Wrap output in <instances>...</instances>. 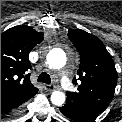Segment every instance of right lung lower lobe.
Segmentation results:
<instances>
[{
	"label": "right lung lower lobe",
	"mask_w": 122,
	"mask_h": 122,
	"mask_svg": "<svg viewBox=\"0 0 122 122\" xmlns=\"http://www.w3.org/2000/svg\"><path fill=\"white\" fill-rule=\"evenodd\" d=\"M23 102L5 98L1 100V117H8L16 115L22 108Z\"/></svg>",
	"instance_id": "1"
}]
</instances>
